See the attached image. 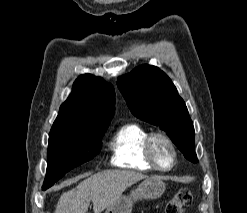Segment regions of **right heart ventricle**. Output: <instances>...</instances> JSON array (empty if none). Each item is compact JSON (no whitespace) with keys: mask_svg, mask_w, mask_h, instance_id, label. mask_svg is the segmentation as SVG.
<instances>
[{"mask_svg":"<svg viewBox=\"0 0 247 213\" xmlns=\"http://www.w3.org/2000/svg\"><path fill=\"white\" fill-rule=\"evenodd\" d=\"M149 134L150 132L138 123L121 125L109 143L112 163L117 167L136 171L155 170L144 154V143Z\"/></svg>","mask_w":247,"mask_h":213,"instance_id":"obj_1","label":"right heart ventricle"}]
</instances>
